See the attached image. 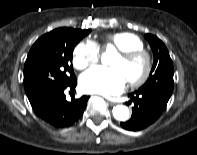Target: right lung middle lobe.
<instances>
[{
    "mask_svg": "<svg viewBox=\"0 0 197 155\" xmlns=\"http://www.w3.org/2000/svg\"><path fill=\"white\" fill-rule=\"evenodd\" d=\"M88 30L58 28L41 36L31 47L24 66V88L30 103L75 78L72 57Z\"/></svg>",
    "mask_w": 197,
    "mask_h": 155,
    "instance_id": "right-lung-middle-lobe-1",
    "label": "right lung middle lobe"
}]
</instances>
